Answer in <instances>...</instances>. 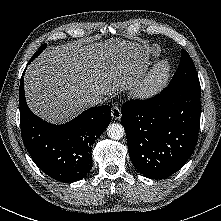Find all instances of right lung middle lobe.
<instances>
[{
  "instance_id": "obj_1",
  "label": "right lung middle lobe",
  "mask_w": 221,
  "mask_h": 221,
  "mask_svg": "<svg viewBox=\"0 0 221 221\" xmlns=\"http://www.w3.org/2000/svg\"><path fill=\"white\" fill-rule=\"evenodd\" d=\"M46 48V44H43L40 46V48L38 49V51L33 55V57L31 58V60H33L34 58H36L44 49Z\"/></svg>"
}]
</instances>
